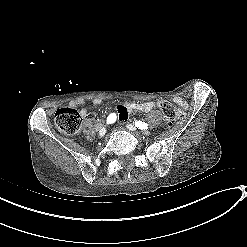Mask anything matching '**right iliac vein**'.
<instances>
[{"label": "right iliac vein", "mask_w": 247, "mask_h": 247, "mask_svg": "<svg viewBox=\"0 0 247 247\" xmlns=\"http://www.w3.org/2000/svg\"><path fill=\"white\" fill-rule=\"evenodd\" d=\"M105 133H106V128L103 127V128H101L100 131H99V136H100V137H103V136L105 135Z\"/></svg>", "instance_id": "obj_1"}]
</instances>
